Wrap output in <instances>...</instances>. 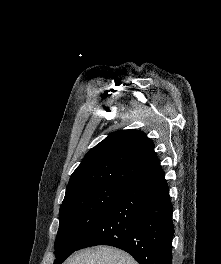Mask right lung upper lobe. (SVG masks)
Returning a JSON list of instances; mask_svg holds the SVG:
<instances>
[{
	"label": "right lung upper lobe",
	"mask_w": 221,
	"mask_h": 264,
	"mask_svg": "<svg viewBox=\"0 0 221 264\" xmlns=\"http://www.w3.org/2000/svg\"><path fill=\"white\" fill-rule=\"evenodd\" d=\"M161 169L154 143L138 130L111 133L92 148L69 180L65 198L98 185L128 183Z\"/></svg>",
	"instance_id": "1"
}]
</instances>
